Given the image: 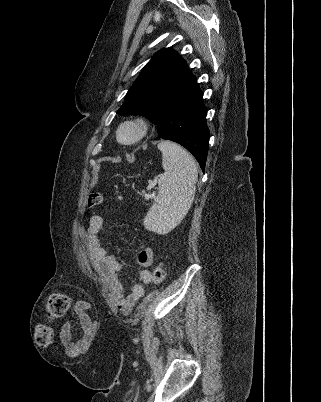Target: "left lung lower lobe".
Wrapping results in <instances>:
<instances>
[{
    "instance_id": "left-lung-lower-lobe-1",
    "label": "left lung lower lobe",
    "mask_w": 321,
    "mask_h": 402,
    "mask_svg": "<svg viewBox=\"0 0 321 402\" xmlns=\"http://www.w3.org/2000/svg\"><path fill=\"white\" fill-rule=\"evenodd\" d=\"M202 97L195 76L190 74L167 95L155 124L160 138L184 146L204 171L210 132Z\"/></svg>"
}]
</instances>
